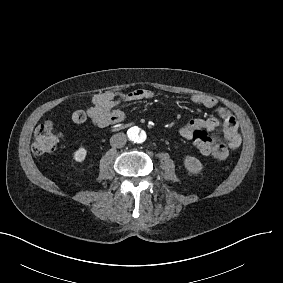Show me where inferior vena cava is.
Instances as JSON below:
<instances>
[{
	"instance_id": "inferior-vena-cava-1",
	"label": "inferior vena cava",
	"mask_w": 283,
	"mask_h": 283,
	"mask_svg": "<svg viewBox=\"0 0 283 283\" xmlns=\"http://www.w3.org/2000/svg\"><path fill=\"white\" fill-rule=\"evenodd\" d=\"M126 142H127V138H126V135L124 133L114 134L110 138V145L112 147H115V148H122V147H124Z\"/></svg>"
}]
</instances>
